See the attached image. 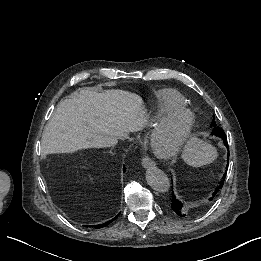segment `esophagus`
<instances>
[{
  "label": "esophagus",
  "instance_id": "esophagus-1",
  "mask_svg": "<svg viewBox=\"0 0 261 261\" xmlns=\"http://www.w3.org/2000/svg\"><path fill=\"white\" fill-rule=\"evenodd\" d=\"M141 163L144 168L156 166L155 162L151 160L148 156H144L141 160Z\"/></svg>",
  "mask_w": 261,
  "mask_h": 261
}]
</instances>
